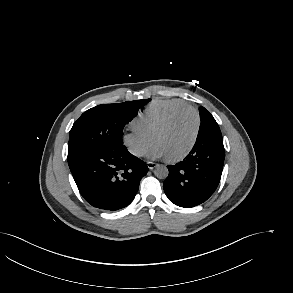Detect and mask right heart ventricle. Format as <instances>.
Masks as SVG:
<instances>
[{
	"instance_id": "right-heart-ventricle-1",
	"label": "right heart ventricle",
	"mask_w": 293,
	"mask_h": 293,
	"mask_svg": "<svg viewBox=\"0 0 293 293\" xmlns=\"http://www.w3.org/2000/svg\"><path fill=\"white\" fill-rule=\"evenodd\" d=\"M190 106L181 99L152 101L133 121V128L151 137L156 128L174 111Z\"/></svg>"
}]
</instances>
